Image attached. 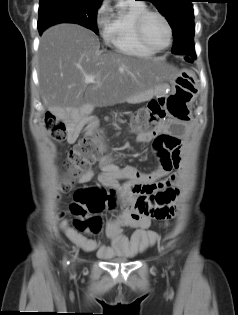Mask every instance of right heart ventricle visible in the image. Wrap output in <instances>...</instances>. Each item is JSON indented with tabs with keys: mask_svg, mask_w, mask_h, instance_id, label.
Returning a JSON list of instances; mask_svg holds the SVG:
<instances>
[{
	"mask_svg": "<svg viewBox=\"0 0 238 315\" xmlns=\"http://www.w3.org/2000/svg\"><path fill=\"white\" fill-rule=\"evenodd\" d=\"M147 10L138 0H125L104 23L102 37L112 50L132 56L149 57L154 51L146 48L136 34V20Z\"/></svg>",
	"mask_w": 238,
	"mask_h": 315,
	"instance_id": "obj_1",
	"label": "right heart ventricle"
}]
</instances>
